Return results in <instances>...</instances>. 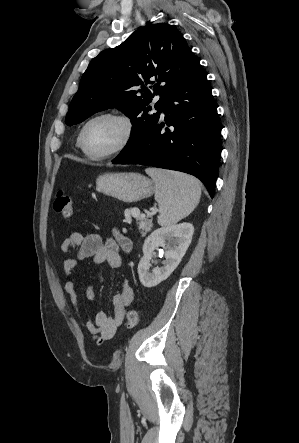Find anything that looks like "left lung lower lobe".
Returning a JSON list of instances; mask_svg holds the SVG:
<instances>
[{"mask_svg": "<svg viewBox=\"0 0 299 443\" xmlns=\"http://www.w3.org/2000/svg\"><path fill=\"white\" fill-rule=\"evenodd\" d=\"M159 117L113 164H141L191 174L214 196L220 124L206 74L198 63L166 95ZM160 112V113H161Z\"/></svg>", "mask_w": 299, "mask_h": 443, "instance_id": "1", "label": "left lung lower lobe"}]
</instances>
